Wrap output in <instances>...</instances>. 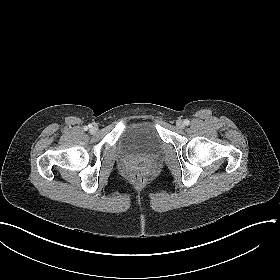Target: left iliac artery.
<instances>
[{
    "label": "left iliac artery",
    "instance_id": "left-iliac-artery-1",
    "mask_svg": "<svg viewBox=\"0 0 280 280\" xmlns=\"http://www.w3.org/2000/svg\"><path fill=\"white\" fill-rule=\"evenodd\" d=\"M189 123H190V121H189L188 119H185V120H184V125L188 126Z\"/></svg>",
    "mask_w": 280,
    "mask_h": 280
}]
</instances>
